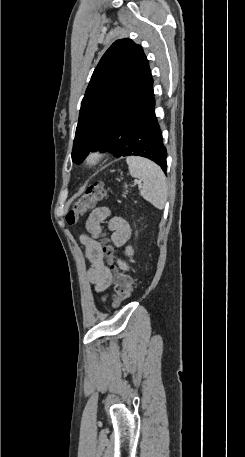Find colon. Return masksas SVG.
Instances as JSON below:
<instances>
[{"mask_svg":"<svg viewBox=\"0 0 245 457\" xmlns=\"http://www.w3.org/2000/svg\"><path fill=\"white\" fill-rule=\"evenodd\" d=\"M105 195V188L102 182H96L88 186L85 193L74 201L71 209L66 215V221L70 225H74L94 204L101 200ZM103 255L109 260L114 259V249L108 244H104L102 248ZM113 293L112 299L114 305H119L128 299L133 291L134 281L130 274L118 270L114 267Z\"/></svg>","mask_w":245,"mask_h":457,"instance_id":"colon-1","label":"colon"}]
</instances>
